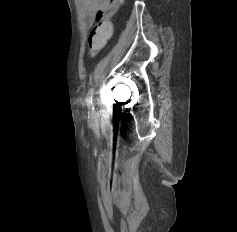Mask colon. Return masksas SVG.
Wrapping results in <instances>:
<instances>
[{
  "instance_id": "colon-1",
  "label": "colon",
  "mask_w": 237,
  "mask_h": 232,
  "mask_svg": "<svg viewBox=\"0 0 237 232\" xmlns=\"http://www.w3.org/2000/svg\"><path fill=\"white\" fill-rule=\"evenodd\" d=\"M113 34L111 17L100 21L92 29L88 37L89 53L92 57L96 56L107 44Z\"/></svg>"
}]
</instances>
